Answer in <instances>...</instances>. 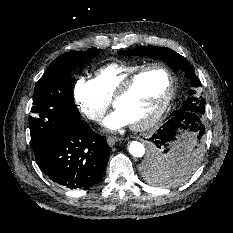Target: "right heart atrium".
Wrapping results in <instances>:
<instances>
[{
    "label": "right heart atrium",
    "mask_w": 233,
    "mask_h": 233,
    "mask_svg": "<svg viewBox=\"0 0 233 233\" xmlns=\"http://www.w3.org/2000/svg\"><path fill=\"white\" fill-rule=\"evenodd\" d=\"M73 100L79 112L92 122H99L109 107L93 78L80 76L73 88Z\"/></svg>",
    "instance_id": "1"
}]
</instances>
